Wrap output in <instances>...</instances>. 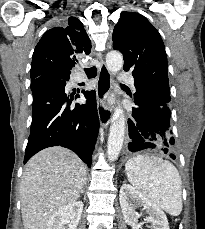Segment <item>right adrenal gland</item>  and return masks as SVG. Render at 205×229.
I'll return each instance as SVG.
<instances>
[{
  "instance_id": "2a0ac1e0",
  "label": "right adrenal gland",
  "mask_w": 205,
  "mask_h": 229,
  "mask_svg": "<svg viewBox=\"0 0 205 229\" xmlns=\"http://www.w3.org/2000/svg\"><path fill=\"white\" fill-rule=\"evenodd\" d=\"M84 192H85V188L82 189L81 194H84Z\"/></svg>"
}]
</instances>
